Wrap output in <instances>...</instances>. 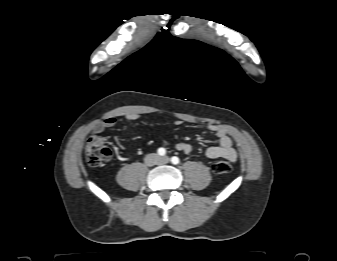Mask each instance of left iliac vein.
<instances>
[{"mask_svg": "<svg viewBox=\"0 0 337 261\" xmlns=\"http://www.w3.org/2000/svg\"><path fill=\"white\" fill-rule=\"evenodd\" d=\"M159 161H160V163H162V164H166V163H168V162L170 161V159H169V157L164 156V157H161V158L159 159Z\"/></svg>", "mask_w": 337, "mask_h": 261, "instance_id": "1", "label": "left iliac vein"}]
</instances>
